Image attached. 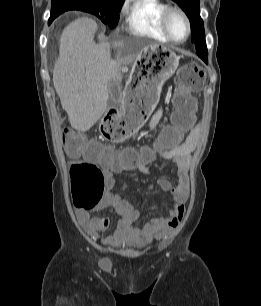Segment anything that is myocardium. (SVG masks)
Returning <instances> with one entry per match:
<instances>
[{"mask_svg": "<svg viewBox=\"0 0 261 306\" xmlns=\"http://www.w3.org/2000/svg\"><path fill=\"white\" fill-rule=\"evenodd\" d=\"M173 14H178L183 19V21L185 23V26H186V36L181 40L175 39L172 36L170 28H169V19H170L171 15H173ZM161 26H162V29H163L164 33L169 38V40L172 41V42H175V43H182V42L186 41L191 34L190 20H189L187 14L179 7L168 6L165 9V11L163 12L162 17H161Z\"/></svg>", "mask_w": 261, "mask_h": 306, "instance_id": "myocardium-1", "label": "myocardium"}]
</instances>
